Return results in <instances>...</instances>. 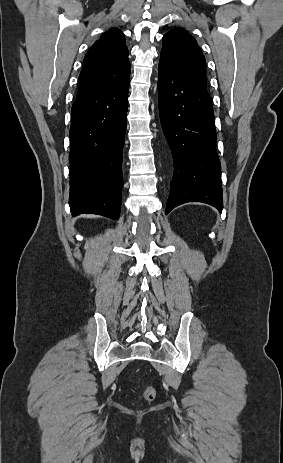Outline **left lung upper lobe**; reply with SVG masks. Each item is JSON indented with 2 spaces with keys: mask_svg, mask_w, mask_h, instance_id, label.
<instances>
[{
  "mask_svg": "<svg viewBox=\"0 0 283 463\" xmlns=\"http://www.w3.org/2000/svg\"><path fill=\"white\" fill-rule=\"evenodd\" d=\"M160 61L191 85L207 92L205 58L196 40L183 28H175L164 35Z\"/></svg>",
  "mask_w": 283,
  "mask_h": 463,
  "instance_id": "left-lung-upper-lobe-1",
  "label": "left lung upper lobe"
}]
</instances>
